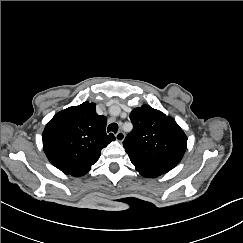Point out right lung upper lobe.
I'll return each instance as SVG.
<instances>
[{"instance_id":"obj_1","label":"right lung upper lobe","mask_w":243,"mask_h":243,"mask_svg":"<svg viewBox=\"0 0 243 243\" xmlns=\"http://www.w3.org/2000/svg\"><path fill=\"white\" fill-rule=\"evenodd\" d=\"M84 102L54 115L43 132V149L49 161L65 174L85 175L100 157L102 148L115 140L106 133L107 120Z\"/></svg>"}]
</instances>
